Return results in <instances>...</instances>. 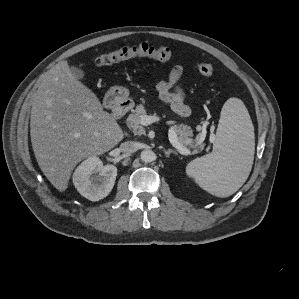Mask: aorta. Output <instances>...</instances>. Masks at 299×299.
Listing matches in <instances>:
<instances>
[{
    "mask_svg": "<svg viewBox=\"0 0 299 299\" xmlns=\"http://www.w3.org/2000/svg\"><path fill=\"white\" fill-rule=\"evenodd\" d=\"M140 158L145 163H150L155 160L156 154L152 150H144L140 154Z\"/></svg>",
    "mask_w": 299,
    "mask_h": 299,
    "instance_id": "762f6f07",
    "label": "aorta"
}]
</instances>
